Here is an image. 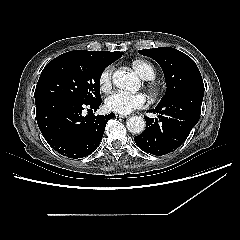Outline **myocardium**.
<instances>
[{
  "label": "myocardium",
  "mask_w": 240,
  "mask_h": 240,
  "mask_svg": "<svg viewBox=\"0 0 240 240\" xmlns=\"http://www.w3.org/2000/svg\"><path fill=\"white\" fill-rule=\"evenodd\" d=\"M146 86L152 96H157L159 94L160 87H159V84L155 80H153V79L147 80Z\"/></svg>",
  "instance_id": "1"
}]
</instances>
